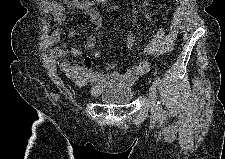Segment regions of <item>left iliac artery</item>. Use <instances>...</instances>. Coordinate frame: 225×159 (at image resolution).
I'll return each mask as SVG.
<instances>
[{
  "label": "left iliac artery",
  "instance_id": "left-iliac-artery-1",
  "mask_svg": "<svg viewBox=\"0 0 225 159\" xmlns=\"http://www.w3.org/2000/svg\"><path fill=\"white\" fill-rule=\"evenodd\" d=\"M154 84H155V86H156L158 89L160 88V86H161V79H160V77H156V78H155ZM161 111L163 112V113H162V117L165 116V115H164L165 112H164L162 109H161Z\"/></svg>",
  "mask_w": 225,
  "mask_h": 159
}]
</instances>
